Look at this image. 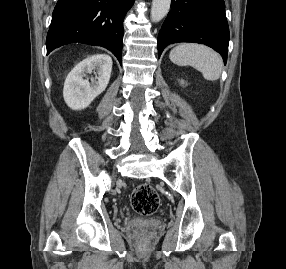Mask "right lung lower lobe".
<instances>
[{
	"label": "right lung lower lobe",
	"mask_w": 286,
	"mask_h": 269,
	"mask_svg": "<svg viewBox=\"0 0 286 269\" xmlns=\"http://www.w3.org/2000/svg\"><path fill=\"white\" fill-rule=\"evenodd\" d=\"M134 0H59L47 34V54L68 43L110 50L122 63L123 20Z\"/></svg>",
	"instance_id": "98d812e1"
}]
</instances>
